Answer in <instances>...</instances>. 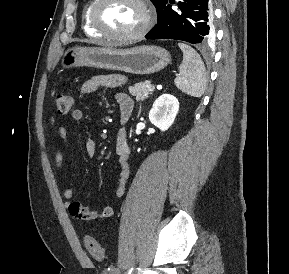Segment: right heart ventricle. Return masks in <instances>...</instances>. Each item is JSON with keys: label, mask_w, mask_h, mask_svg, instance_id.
Returning <instances> with one entry per match:
<instances>
[{"label": "right heart ventricle", "mask_w": 289, "mask_h": 274, "mask_svg": "<svg viewBox=\"0 0 289 274\" xmlns=\"http://www.w3.org/2000/svg\"><path fill=\"white\" fill-rule=\"evenodd\" d=\"M94 3V0L89 1L83 11L82 15V27L84 32L91 37H101V34L98 33L90 23V10L91 6Z\"/></svg>", "instance_id": "1"}]
</instances>
